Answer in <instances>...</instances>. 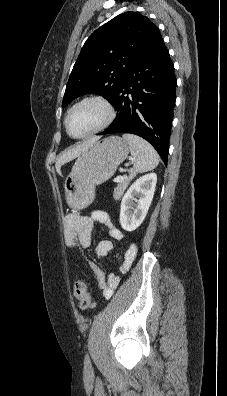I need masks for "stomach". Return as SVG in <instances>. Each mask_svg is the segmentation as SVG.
I'll use <instances>...</instances> for the list:
<instances>
[{
  "mask_svg": "<svg viewBox=\"0 0 227 396\" xmlns=\"http://www.w3.org/2000/svg\"><path fill=\"white\" fill-rule=\"evenodd\" d=\"M129 147L117 136L92 144L81 153L64 182L65 197L75 209L88 207L95 199V188L109 180L127 158Z\"/></svg>",
  "mask_w": 227,
  "mask_h": 396,
  "instance_id": "0dacf381",
  "label": "stomach"
}]
</instances>
